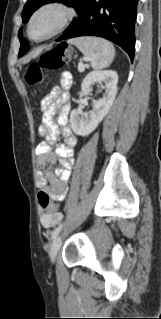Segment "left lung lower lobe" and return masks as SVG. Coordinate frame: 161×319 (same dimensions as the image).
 <instances>
[{
    "instance_id": "0a47b994",
    "label": "left lung lower lobe",
    "mask_w": 161,
    "mask_h": 319,
    "mask_svg": "<svg viewBox=\"0 0 161 319\" xmlns=\"http://www.w3.org/2000/svg\"><path fill=\"white\" fill-rule=\"evenodd\" d=\"M137 4L138 0H90L84 15L62 40L79 36L103 37L122 47L132 61Z\"/></svg>"
}]
</instances>
